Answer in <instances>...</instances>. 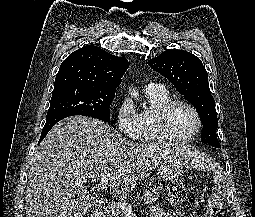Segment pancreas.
Masks as SVG:
<instances>
[{
    "label": "pancreas",
    "instance_id": "1",
    "mask_svg": "<svg viewBox=\"0 0 255 217\" xmlns=\"http://www.w3.org/2000/svg\"><path fill=\"white\" fill-rule=\"evenodd\" d=\"M161 192V188L158 186H155L153 188H150L149 190H146L143 192V198L145 204H152L157 201L159 195ZM107 215L108 217H120L121 216V211L118 209V207L114 204L109 206L107 208Z\"/></svg>",
    "mask_w": 255,
    "mask_h": 217
}]
</instances>
